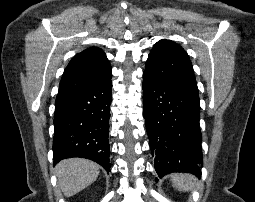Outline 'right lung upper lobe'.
Listing matches in <instances>:
<instances>
[{"label":"right lung upper lobe","mask_w":255,"mask_h":202,"mask_svg":"<svg viewBox=\"0 0 255 202\" xmlns=\"http://www.w3.org/2000/svg\"><path fill=\"white\" fill-rule=\"evenodd\" d=\"M111 77V66L103 50L90 47L70 61L62 76L59 92L96 86Z\"/></svg>","instance_id":"cb5924a9"}]
</instances>
